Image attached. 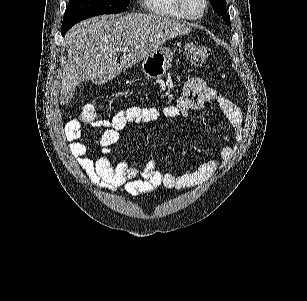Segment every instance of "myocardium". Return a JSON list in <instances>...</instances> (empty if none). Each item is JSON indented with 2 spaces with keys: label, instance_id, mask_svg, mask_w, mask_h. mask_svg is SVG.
Listing matches in <instances>:
<instances>
[{
  "label": "myocardium",
  "instance_id": "1",
  "mask_svg": "<svg viewBox=\"0 0 307 301\" xmlns=\"http://www.w3.org/2000/svg\"><path fill=\"white\" fill-rule=\"evenodd\" d=\"M187 2L188 0H176L174 2V5L177 7L176 16L184 17L185 22H199L200 16L205 12L206 0H198L199 3L196 5V8L198 9L197 13H188L187 9L189 8V5Z\"/></svg>",
  "mask_w": 307,
  "mask_h": 301
}]
</instances>
